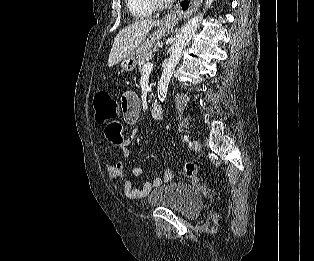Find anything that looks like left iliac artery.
I'll list each match as a JSON object with an SVG mask.
<instances>
[{"label":"left iliac artery","instance_id":"1","mask_svg":"<svg viewBox=\"0 0 314 261\" xmlns=\"http://www.w3.org/2000/svg\"><path fill=\"white\" fill-rule=\"evenodd\" d=\"M184 140H185V141H189V136L185 135V136H184Z\"/></svg>","mask_w":314,"mask_h":261}]
</instances>
